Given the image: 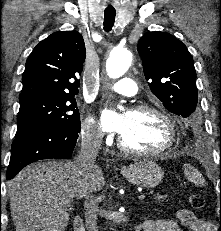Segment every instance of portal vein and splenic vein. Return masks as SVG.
Returning <instances> with one entry per match:
<instances>
[{
    "mask_svg": "<svg viewBox=\"0 0 221 231\" xmlns=\"http://www.w3.org/2000/svg\"><path fill=\"white\" fill-rule=\"evenodd\" d=\"M145 197H146L145 194H140V195H138V199H139V200H143V199H145ZM70 202H71L70 200H67V201H66V203H70Z\"/></svg>",
    "mask_w": 221,
    "mask_h": 231,
    "instance_id": "obj_1",
    "label": "portal vein and splenic vein"
}]
</instances>
